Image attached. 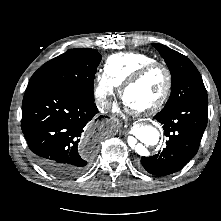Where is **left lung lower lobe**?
Listing matches in <instances>:
<instances>
[{
  "instance_id": "0a47b994",
  "label": "left lung lower lobe",
  "mask_w": 221,
  "mask_h": 221,
  "mask_svg": "<svg viewBox=\"0 0 221 221\" xmlns=\"http://www.w3.org/2000/svg\"><path fill=\"white\" fill-rule=\"evenodd\" d=\"M208 100H190L164 109L154 118L163 124L166 147L141 164L149 173L166 176L181 170L197 153L207 125Z\"/></svg>"
}]
</instances>
